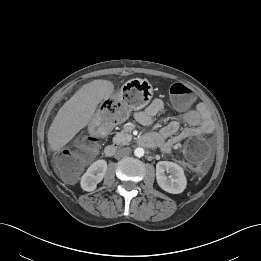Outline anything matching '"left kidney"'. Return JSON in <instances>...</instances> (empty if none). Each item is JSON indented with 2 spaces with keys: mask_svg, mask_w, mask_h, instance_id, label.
Listing matches in <instances>:
<instances>
[{
  "mask_svg": "<svg viewBox=\"0 0 261 261\" xmlns=\"http://www.w3.org/2000/svg\"><path fill=\"white\" fill-rule=\"evenodd\" d=\"M166 172L170 175L166 176ZM156 180L164 191L171 194L182 193L187 186L183 169L178 164L169 161H159L156 164Z\"/></svg>",
  "mask_w": 261,
  "mask_h": 261,
  "instance_id": "5707ae66",
  "label": "left kidney"
}]
</instances>
